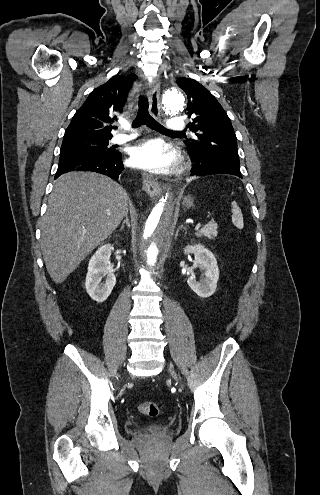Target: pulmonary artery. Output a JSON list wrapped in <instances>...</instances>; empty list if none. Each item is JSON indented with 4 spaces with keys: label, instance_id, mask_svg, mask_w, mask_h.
Here are the masks:
<instances>
[{
    "label": "pulmonary artery",
    "instance_id": "e3ab8cb5",
    "mask_svg": "<svg viewBox=\"0 0 320 495\" xmlns=\"http://www.w3.org/2000/svg\"><path fill=\"white\" fill-rule=\"evenodd\" d=\"M168 130L171 131H182L185 128V122L181 117H174L170 119L167 123ZM137 136L136 133L132 132L130 134H117L113 137L112 142L116 144H122L128 142Z\"/></svg>",
    "mask_w": 320,
    "mask_h": 495
}]
</instances>
